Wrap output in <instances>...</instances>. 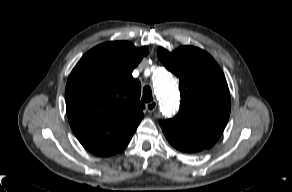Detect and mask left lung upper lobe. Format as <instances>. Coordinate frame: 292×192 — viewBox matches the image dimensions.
Returning <instances> with one entry per match:
<instances>
[{
    "label": "left lung upper lobe",
    "instance_id": "1",
    "mask_svg": "<svg viewBox=\"0 0 292 192\" xmlns=\"http://www.w3.org/2000/svg\"><path fill=\"white\" fill-rule=\"evenodd\" d=\"M157 55L180 79V111L173 119L159 122L164 135L202 149L211 148L223 133L231 108L222 70L207 52L193 46L173 52L160 47Z\"/></svg>",
    "mask_w": 292,
    "mask_h": 192
}]
</instances>
